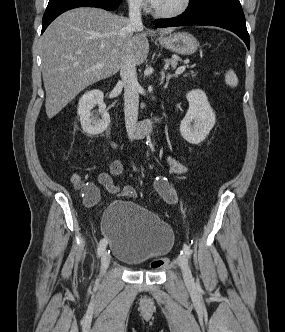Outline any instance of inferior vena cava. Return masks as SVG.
Segmentation results:
<instances>
[{"label":"inferior vena cava","instance_id":"obj_1","mask_svg":"<svg viewBox=\"0 0 285 332\" xmlns=\"http://www.w3.org/2000/svg\"><path fill=\"white\" fill-rule=\"evenodd\" d=\"M129 22L130 27L133 29L142 24L141 0L130 1ZM120 76L124 85L125 125L129 139L132 140L138 119L139 83L137 80L136 64L130 56L126 57L121 64Z\"/></svg>","mask_w":285,"mask_h":332}]
</instances>
